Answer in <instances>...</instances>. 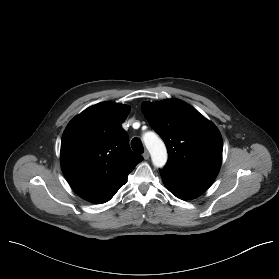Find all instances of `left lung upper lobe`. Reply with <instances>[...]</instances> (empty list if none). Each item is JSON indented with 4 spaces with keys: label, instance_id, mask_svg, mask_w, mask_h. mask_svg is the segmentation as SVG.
<instances>
[{
    "label": "left lung upper lobe",
    "instance_id": "left-lung-upper-lobe-1",
    "mask_svg": "<svg viewBox=\"0 0 279 279\" xmlns=\"http://www.w3.org/2000/svg\"><path fill=\"white\" fill-rule=\"evenodd\" d=\"M142 111L168 151L166 168L199 178L215 179L223 142L216 126L181 100L146 102Z\"/></svg>",
    "mask_w": 279,
    "mask_h": 279
}]
</instances>
